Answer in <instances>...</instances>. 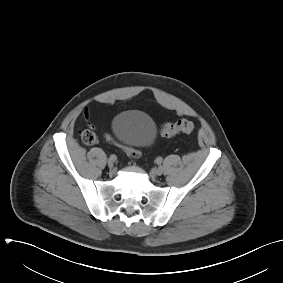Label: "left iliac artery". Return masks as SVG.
Returning <instances> with one entry per match:
<instances>
[{"label": "left iliac artery", "mask_w": 283, "mask_h": 283, "mask_svg": "<svg viewBox=\"0 0 283 283\" xmlns=\"http://www.w3.org/2000/svg\"><path fill=\"white\" fill-rule=\"evenodd\" d=\"M157 164H161L162 163V158L161 157H158L157 160H156Z\"/></svg>", "instance_id": "left-iliac-artery-1"}]
</instances>
